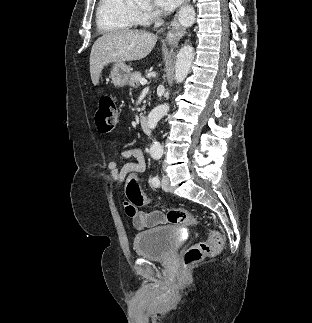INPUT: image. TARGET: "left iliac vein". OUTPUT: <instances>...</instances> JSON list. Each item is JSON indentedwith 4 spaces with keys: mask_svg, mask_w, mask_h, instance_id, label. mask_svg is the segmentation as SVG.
Masks as SVG:
<instances>
[{
    "mask_svg": "<svg viewBox=\"0 0 312 323\" xmlns=\"http://www.w3.org/2000/svg\"><path fill=\"white\" fill-rule=\"evenodd\" d=\"M161 187L165 191H170L169 178L167 175L162 176Z\"/></svg>",
    "mask_w": 312,
    "mask_h": 323,
    "instance_id": "1",
    "label": "left iliac vein"
}]
</instances>
